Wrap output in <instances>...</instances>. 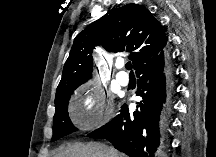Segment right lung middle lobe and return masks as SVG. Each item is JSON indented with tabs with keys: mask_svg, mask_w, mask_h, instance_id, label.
Instances as JSON below:
<instances>
[{
	"mask_svg": "<svg viewBox=\"0 0 216 157\" xmlns=\"http://www.w3.org/2000/svg\"><path fill=\"white\" fill-rule=\"evenodd\" d=\"M74 90L63 91L55 98V115L53 118V136L51 141L68 135L77 130L68 116V101Z\"/></svg>",
	"mask_w": 216,
	"mask_h": 157,
	"instance_id": "dd1d6c3e",
	"label": "right lung middle lobe"
}]
</instances>
